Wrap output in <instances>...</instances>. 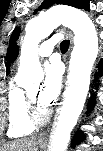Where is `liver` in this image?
Wrapping results in <instances>:
<instances>
[{"instance_id": "liver-1", "label": "liver", "mask_w": 103, "mask_h": 151, "mask_svg": "<svg viewBox=\"0 0 103 151\" xmlns=\"http://www.w3.org/2000/svg\"><path fill=\"white\" fill-rule=\"evenodd\" d=\"M37 138H21L7 142L0 147V151H37Z\"/></svg>"}]
</instances>
